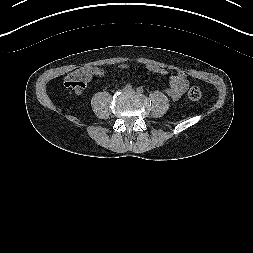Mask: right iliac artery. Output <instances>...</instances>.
<instances>
[{
	"instance_id": "82829eb1",
	"label": "right iliac artery",
	"mask_w": 253,
	"mask_h": 253,
	"mask_svg": "<svg viewBox=\"0 0 253 253\" xmlns=\"http://www.w3.org/2000/svg\"><path fill=\"white\" fill-rule=\"evenodd\" d=\"M132 88V86L130 85V84H127L126 86H125V89H127V90H130Z\"/></svg>"
}]
</instances>
